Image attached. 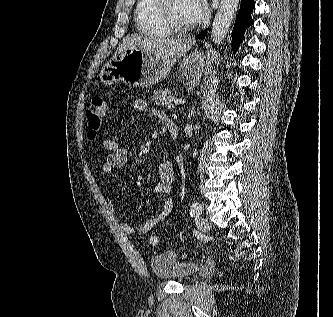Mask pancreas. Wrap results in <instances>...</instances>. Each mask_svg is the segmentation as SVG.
I'll return each instance as SVG.
<instances>
[{"instance_id": "cf45deb5", "label": "pancreas", "mask_w": 333, "mask_h": 317, "mask_svg": "<svg viewBox=\"0 0 333 317\" xmlns=\"http://www.w3.org/2000/svg\"><path fill=\"white\" fill-rule=\"evenodd\" d=\"M171 91L168 88L156 89L153 92V101L158 106H162L168 109H171L173 105L169 101Z\"/></svg>"}]
</instances>
